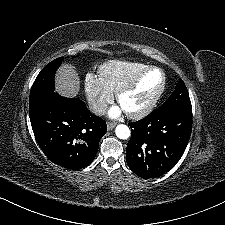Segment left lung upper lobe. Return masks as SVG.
<instances>
[{
	"label": "left lung upper lobe",
	"instance_id": "1",
	"mask_svg": "<svg viewBox=\"0 0 225 225\" xmlns=\"http://www.w3.org/2000/svg\"><path fill=\"white\" fill-rule=\"evenodd\" d=\"M191 107V101L184 82L180 79L175 91L160 108Z\"/></svg>",
	"mask_w": 225,
	"mask_h": 225
}]
</instances>
